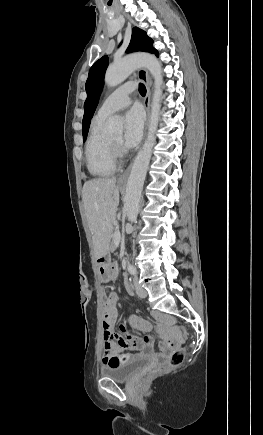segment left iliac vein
Here are the masks:
<instances>
[{"label":"left iliac vein","mask_w":263,"mask_h":435,"mask_svg":"<svg viewBox=\"0 0 263 435\" xmlns=\"http://www.w3.org/2000/svg\"><path fill=\"white\" fill-rule=\"evenodd\" d=\"M134 287L140 298H145L147 296V291L138 283L137 277L134 278Z\"/></svg>","instance_id":"4c4485c4"}]
</instances>
